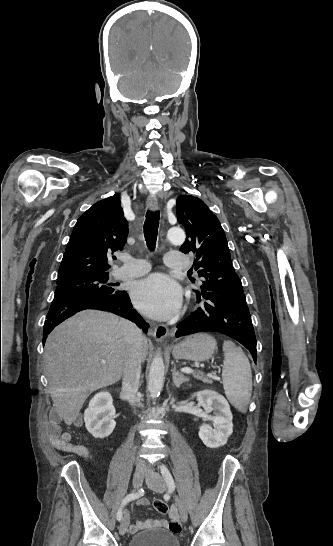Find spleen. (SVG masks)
Listing matches in <instances>:
<instances>
[{
  "label": "spleen",
  "mask_w": 333,
  "mask_h": 546,
  "mask_svg": "<svg viewBox=\"0 0 333 546\" xmlns=\"http://www.w3.org/2000/svg\"><path fill=\"white\" fill-rule=\"evenodd\" d=\"M223 387L230 403L246 413L252 394V372L249 360L240 347L224 341Z\"/></svg>",
  "instance_id": "1"
}]
</instances>
